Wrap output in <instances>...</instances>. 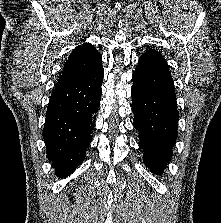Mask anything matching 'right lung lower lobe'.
Wrapping results in <instances>:
<instances>
[{
    "label": "right lung lower lobe",
    "instance_id": "obj_1",
    "mask_svg": "<svg viewBox=\"0 0 221 223\" xmlns=\"http://www.w3.org/2000/svg\"><path fill=\"white\" fill-rule=\"evenodd\" d=\"M103 67L65 86L56 87L49 99L43 139L47 158L59 177L82 163L91 143L90 132L100 107Z\"/></svg>",
    "mask_w": 221,
    "mask_h": 223
}]
</instances>
